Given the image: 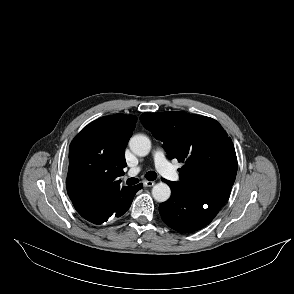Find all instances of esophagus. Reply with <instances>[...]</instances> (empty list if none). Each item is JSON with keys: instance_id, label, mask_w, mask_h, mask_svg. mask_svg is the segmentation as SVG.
Returning a JSON list of instances; mask_svg holds the SVG:
<instances>
[{"instance_id": "obj_1", "label": "esophagus", "mask_w": 294, "mask_h": 294, "mask_svg": "<svg viewBox=\"0 0 294 294\" xmlns=\"http://www.w3.org/2000/svg\"><path fill=\"white\" fill-rule=\"evenodd\" d=\"M155 183L153 181H148V180H145L143 181V185L145 187H152Z\"/></svg>"}]
</instances>
